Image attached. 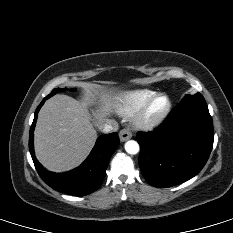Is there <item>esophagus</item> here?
I'll use <instances>...</instances> for the list:
<instances>
[{
    "mask_svg": "<svg viewBox=\"0 0 233 233\" xmlns=\"http://www.w3.org/2000/svg\"><path fill=\"white\" fill-rule=\"evenodd\" d=\"M119 137H120V140L122 142L126 141V140H129L131 137H132V133L130 130L128 129H122L120 132H119Z\"/></svg>",
    "mask_w": 233,
    "mask_h": 233,
    "instance_id": "34e87169",
    "label": "esophagus"
}]
</instances>
